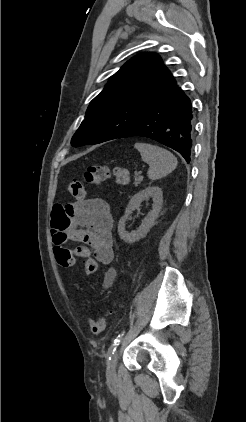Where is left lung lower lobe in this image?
I'll use <instances>...</instances> for the list:
<instances>
[{
    "instance_id": "1",
    "label": "left lung lower lobe",
    "mask_w": 246,
    "mask_h": 422,
    "mask_svg": "<svg viewBox=\"0 0 246 422\" xmlns=\"http://www.w3.org/2000/svg\"><path fill=\"white\" fill-rule=\"evenodd\" d=\"M142 136L179 152L189 163L193 114L189 97L174 80L148 111L118 138Z\"/></svg>"
}]
</instances>
